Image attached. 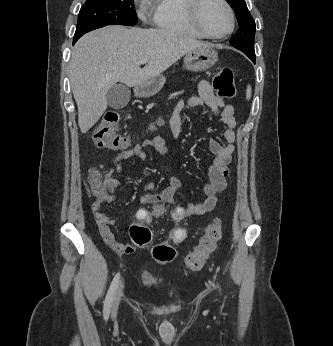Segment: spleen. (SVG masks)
Segmentation results:
<instances>
[{
  "label": "spleen",
  "instance_id": "spleen-1",
  "mask_svg": "<svg viewBox=\"0 0 333 346\" xmlns=\"http://www.w3.org/2000/svg\"><path fill=\"white\" fill-rule=\"evenodd\" d=\"M251 92H252L251 86L248 85L247 90H246V98H247L248 100H249L250 97H251Z\"/></svg>",
  "mask_w": 333,
  "mask_h": 346
}]
</instances>
